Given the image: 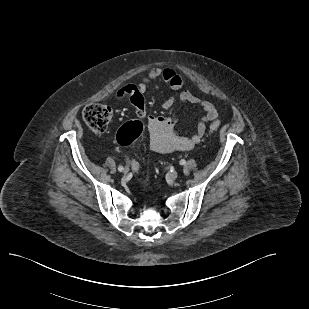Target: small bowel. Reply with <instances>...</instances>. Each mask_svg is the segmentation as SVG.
<instances>
[{
	"mask_svg": "<svg viewBox=\"0 0 309 309\" xmlns=\"http://www.w3.org/2000/svg\"><path fill=\"white\" fill-rule=\"evenodd\" d=\"M158 80L167 83L173 90H181L184 84L183 78L172 68L153 67L138 83H127L121 86L115 93L117 99L128 98L136 109L137 117L146 120L150 133L152 150L158 153H170L174 151H188L197 145L207 129V123L218 119L216 106L209 101H203L190 91L183 90L179 94V100L183 104L198 105L204 112V116L198 122L195 133L184 135L178 130L179 119L177 115L149 116L146 113L144 93ZM174 98L169 97L163 103V108L168 110L174 105Z\"/></svg>",
	"mask_w": 309,
	"mask_h": 309,
	"instance_id": "small-bowel-1",
	"label": "small bowel"
}]
</instances>
